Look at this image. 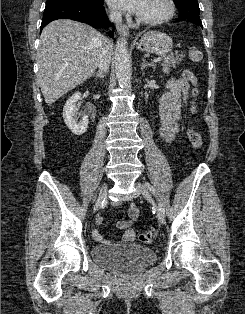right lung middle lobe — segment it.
I'll return each instance as SVG.
<instances>
[{
  "label": "right lung middle lobe",
  "instance_id": "dd1d6c3e",
  "mask_svg": "<svg viewBox=\"0 0 245 314\" xmlns=\"http://www.w3.org/2000/svg\"><path fill=\"white\" fill-rule=\"evenodd\" d=\"M52 1H60V0H47V3L52 2ZM70 1L84 2V3H89V4H97V3L102 2V0H70Z\"/></svg>",
  "mask_w": 245,
  "mask_h": 314
}]
</instances>
